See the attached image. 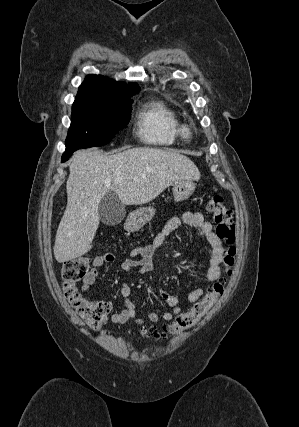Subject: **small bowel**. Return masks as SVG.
Listing matches in <instances>:
<instances>
[{"label":"small bowel","mask_w":299,"mask_h":427,"mask_svg":"<svg viewBox=\"0 0 299 427\" xmlns=\"http://www.w3.org/2000/svg\"><path fill=\"white\" fill-rule=\"evenodd\" d=\"M183 224L197 229L207 239L211 251L205 266L206 280L208 282L217 281L221 275L220 265L223 262L225 248L221 240L214 233L212 224L204 218L201 212L194 211H184L169 219L155 235L151 243L134 247L129 257L119 263L120 268L131 274L154 273L156 271V252L164 245L167 238ZM105 263H117L116 257L112 253H105L93 259L92 267L83 279L82 290L84 293H90L91 286L98 278L99 268ZM119 294L122 299V310L111 316L113 323L123 324L131 320L137 326H145L146 323H156L159 320V315L156 312H150L146 318L136 316L135 305L130 298L131 286L128 283L121 285ZM203 294L204 290L201 287L194 288L188 294V301L195 303ZM160 295L171 308L170 311L162 314V319L164 321H171L181 313L179 299L167 291H161Z\"/></svg>","instance_id":"small-bowel-1"}]
</instances>
